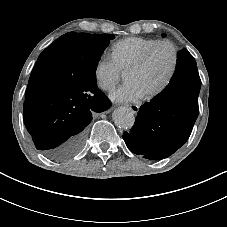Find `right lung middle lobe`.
I'll return each instance as SVG.
<instances>
[{
	"label": "right lung middle lobe",
	"instance_id": "right-lung-middle-lobe-1",
	"mask_svg": "<svg viewBox=\"0 0 227 227\" xmlns=\"http://www.w3.org/2000/svg\"><path fill=\"white\" fill-rule=\"evenodd\" d=\"M114 38L112 34L66 33L40 54L30 79L42 87L53 84L76 89L94 85L98 61Z\"/></svg>",
	"mask_w": 227,
	"mask_h": 227
}]
</instances>
